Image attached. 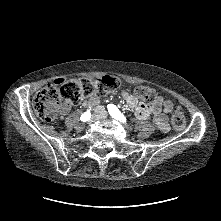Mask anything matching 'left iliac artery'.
I'll return each instance as SVG.
<instances>
[{
    "instance_id": "left-iliac-artery-1",
    "label": "left iliac artery",
    "mask_w": 221,
    "mask_h": 221,
    "mask_svg": "<svg viewBox=\"0 0 221 221\" xmlns=\"http://www.w3.org/2000/svg\"><path fill=\"white\" fill-rule=\"evenodd\" d=\"M107 108H108L109 114L113 118H115V119H117V120H119V121H121L123 123L126 122V117L119 111V109L115 105L109 104L107 106Z\"/></svg>"
}]
</instances>
